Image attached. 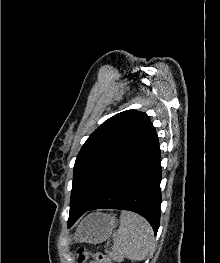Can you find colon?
<instances>
[{
	"mask_svg": "<svg viewBox=\"0 0 220 263\" xmlns=\"http://www.w3.org/2000/svg\"><path fill=\"white\" fill-rule=\"evenodd\" d=\"M76 256L78 263H84L89 257L92 258V263H113L107 256L101 253L89 252L83 248L77 250Z\"/></svg>",
	"mask_w": 220,
	"mask_h": 263,
	"instance_id": "1",
	"label": "colon"
}]
</instances>
